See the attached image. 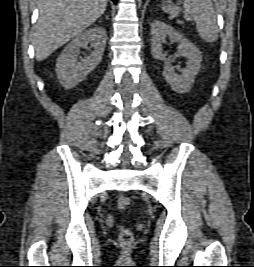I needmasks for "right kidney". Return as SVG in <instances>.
<instances>
[{
  "label": "right kidney",
  "instance_id": "obj_1",
  "mask_svg": "<svg viewBox=\"0 0 254 267\" xmlns=\"http://www.w3.org/2000/svg\"><path fill=\"white\" fill-rule=\"evenodd\" d=\"M106 40L105 29L96 26L80 33L65 47L56 62L57 77L64 88L75 87L100 63ZM88 44L94 50L85 58H80L78 62L80 48H85Z\"/></svg>",
  "mask_w": 254,
  "mask_h": 267
}]
</instances>
